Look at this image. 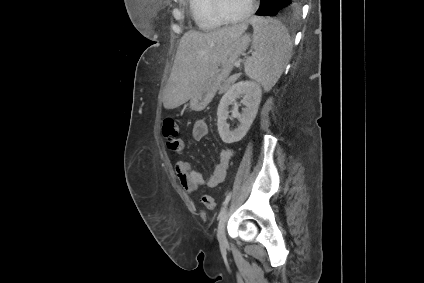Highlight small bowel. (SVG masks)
<instances>
[{
  "label": "small bowel",
  "mask_w": 424,
  "mask_h": 283,
  "mask_svg": "<svg viewBox=\"0 0 424 283\" xmlns=\"http://www.w3.org/2000/svg\"><path fill=\"white\" fill-rule=\"evenodd\" d=\"M208 131V124L205 119L199 118L194 122L192 135L195 140H201L204 138L208 134ZM168 148L172 150L170 145H168ZM233 157L234 151L232 149L226 148L221 150L218 163L215 165L213 172L207 178H204L202 173L195 170L190 162L183 160L176 163L175 174L182 187L190 193L198 190L200 186L214 188L224 182Z\"/></svg>",
  "instance_id": "small-bowel-1"
}]
</instances>
